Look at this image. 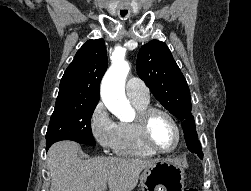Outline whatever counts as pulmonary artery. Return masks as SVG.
<instances>
[{
    "label": "pulmonary artery",
    "instance_id": "pulmonary-artery-1",
    "mask_svg": "<svg viewBox=\"0 0 251 191\" xmlns=\"http://www.w3.org/2000/svg\"><path fill=\"white\" fill-rule=\"evenodd\" d=\"M126 94L130 100L149 99L148 90L139 79L131 78L125 85Z\"/></svg>",
    "mask_w": 251,
    "mask_h": 191
}]
</instances>
